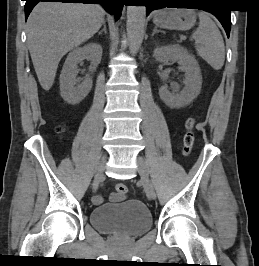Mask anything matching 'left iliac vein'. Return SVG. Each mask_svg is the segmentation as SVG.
Wrapping results in <instances>:
<instances>
[{"label":"left iliac vein","mask_w":259,"mask_h":266,"mask_svg":"<svg viewBox=\"0 0 259 266\" xmlns=\"http://www.w3.org/2000/svg\"><path fill=\"white\" fill-rule=\"evenodd\" d=\"M136 162L138 165V172L141 178L142 185L146 192V195L150 200H154L155 198H153L151 194V190L147 189V185H148V182H150V180H149V173H148L146 162L141 156L137 157Z\"/></svg>","instance_id":"1"}]
</instances>
